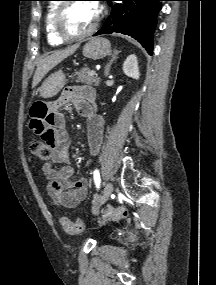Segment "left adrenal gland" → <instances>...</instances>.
Segmentation results:
<instances>
[{
	"instance_id": "obj_1",
	"label": "left adrenal gland",
	"mask_w": 216,
	"mask_h": 285,
	"mask_svg": "<svg viewBox=\"0 0 216 285\" xmlns=\"http://www.w3.org/2000/svg\"><path fill=\"white\" fill-rule=\"evenodd\" d=\"M119 53H120V51H117V50L113 51L111 60L109 61V63L105 67V76H108L109 71H110V67H111L112 63L115 61V59Z\"/></svg>"
}]
</instances>
